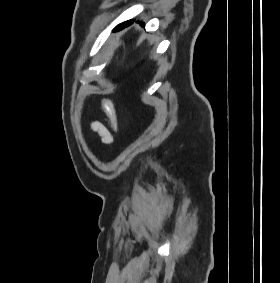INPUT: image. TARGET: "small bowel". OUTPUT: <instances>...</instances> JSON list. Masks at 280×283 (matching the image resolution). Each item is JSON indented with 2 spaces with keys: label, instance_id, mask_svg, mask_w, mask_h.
I'll list each match as a JSON object with an SVG mask.
<instances>
[{
  "label": "small bowel",
  "instance_id": "small-bowel-1",
  "mask_svg": "<svg viewBox=\"0 0 280 283\" xmlns=\"http://www.w3.org/2000/svg\"><path fill=\"white\" fill-rule=\"evenodd\" d=\"M111 127L114 131L117 129L113 125H111ZM90 128L100 136L102 143H104L105 145H109L113 141V135L111 131L101 122H91Z\"/></svg>",
  "mask_w": 280,
  "mask_h": 283
}]
</instances>
